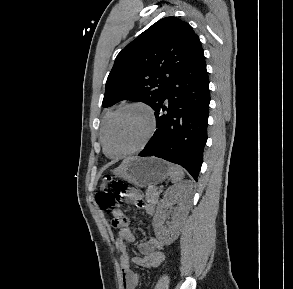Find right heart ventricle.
Returning <instances> with one entry per match:
<instances>
[{
	"instance_id": "e07e8e85",
	"label": "right heart ventricle",
	"mask_w": 293,
	"mask_h": 289,
	"mask_svg": "<svg viewBox=\"0 0 293 289\" xmlns=\"http://www.w3.org/2000/svg\"><path fill=\"white\" fill-rule=\"evenodd\" d=\"M115 111V109H110L104 116L101 128H100V133H99V137H100V141L102 143V135H103V131L105 128V124L107 122V120L109 119V117L112 115V113Z\"/></svg>"
}]
</instances>
